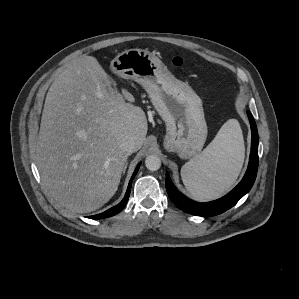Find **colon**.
I'll return each instance as SVG.
<instances>
[{
	"label": "colon",
	"instance_id": "colon-1",
	"mask_svg": "<svg viewBox=\"0 0 299 299\" xmlns=\"http://www.w3.org/2000/svg\"><path fill=\"white\" fill-rule=\"evenodd\" d=\"M171 63L176 67H182L186 65L187 59L182 56H175L171 59Z\"/></svg>",
	"mask_w": 299,
	"mask_h": 299
}]
</instances>
